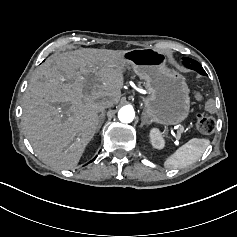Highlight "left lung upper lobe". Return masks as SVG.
<instances>
[{"label":"left lung upper lobe","mask_w":237,"mask_h":237,"mask_svg":"<svg viewBox=\"0 0 237 237\" xmlns=\"http://www.w3.org/2000/svg\"><path fill=\"white\" fill-rule=\"evenodd\" d=\"M183 64L187 68L195 70V71H197L201 75L207 76L206 72L204 71L202 66L197 61H195L193 59H190V58H183Z\"/></svg>","instance_id":"left-lung-upper-lobe-1"}]
</instances>
